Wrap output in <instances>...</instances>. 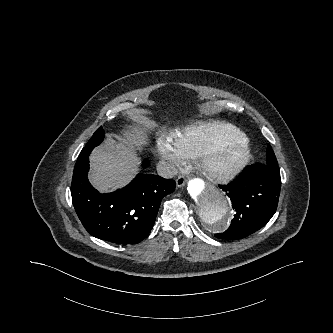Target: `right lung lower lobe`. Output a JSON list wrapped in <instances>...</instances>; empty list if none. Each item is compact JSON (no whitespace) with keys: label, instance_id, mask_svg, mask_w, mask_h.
<instances>
[{"label":"right lung lower lobe","instance_id":"1","mask_svg":"<svg viewBox=\"0 0 333 333\" xmlns=\"http://www.w3.org/2000/svg\"><path fill=\"white\" fill-rule=\"evenodd\" d=\"M92 147L82 149L76 162L71 195L75 211L92 236L116 244H136L151 231L165 195L175 189V181L153 174H138L126 187L100 194L88 181ZM145 161L143 166H147Z\"/></svg>","mask_w":333,"mask_h":333}]
</instances>
